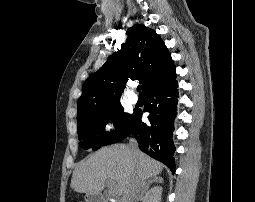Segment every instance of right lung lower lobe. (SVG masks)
Returning a JSON list of instances; mask_svg holds the SVG:
<instances>
[{
    "label": "right lung lower lobe",
    "instance_id": "right-lung-lower-lobe-1",
    "mask_svg": "<svg viewBox=\"0 0 255 202\" xmlns=\"http://www.w3.org/2000/svg\"><path fill=\"white\" fill-rule=\"evenodd\" d=\"M175 79L144 94V112L150 113L149 123H143L142 111L135 110L131 126L124 137L134 135L143 152L164 163L173 173L175 147L172 135L178 102V84Z\"/></svg>",
    "mask_w": 255,
    "mask_h": 202
}]
</instances>
